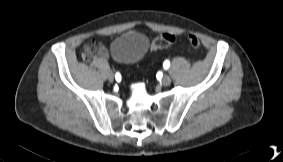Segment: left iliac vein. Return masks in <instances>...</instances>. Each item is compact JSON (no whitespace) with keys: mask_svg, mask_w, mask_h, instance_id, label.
Here are the masks:
<instances>
[{"mask_svg":"<svg viewBox=\"0 0 283 162\" xmlns=\"http://www.w3.org/2000/svg\"><path fill=\"white\" fill-rule=\"evenodd\" d=\"M161 83L164 85V86H168L171 84V78L168 76V75H164L161 79Z\"/></svg>","mask_w":283,"mask_h":162,"instance_id":"1","label":"left iliac vein"}]
</instances>
